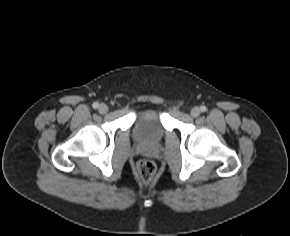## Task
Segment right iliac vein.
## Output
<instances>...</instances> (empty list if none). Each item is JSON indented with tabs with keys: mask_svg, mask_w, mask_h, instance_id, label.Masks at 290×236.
Returning a JSON list of instances; mask_svg holds the SVG:
<instances>
[{
	"mask_svg": "<svg viewBox=\"0 0 290 236\" xmlns=\"http://www.w3.org/2000/svg\"><path fill=\"white\" fill-rule=\"evenodd\" d=\"M98 111L101 113V114H105L108 112V106L104 103L100 104L99 107H98Z\"/></svg>",
	"mask_w": 290,
	"mask_h": 236,
	"instance_id": "right-iliac-vein-1",
	"label": "right iliac vein"
}]
</instances>
